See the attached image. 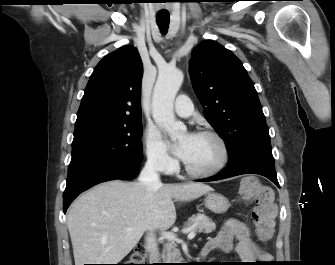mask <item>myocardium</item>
I'll use <instances>...</instances> for the list:
<instances>
[{"mask_svg": "<svg viewBox=\"0 0 335 265\" xmlns=\"http://www.w3.org/2000/svg\"><path fill=\"white\" fill-rule=\"evenodd\" d=\"M198 136L211 137L218 143L220 147V158L216 165L208 170H195L188 166L185 161L183 167L185 172L195 178H209L218 174L227 164L229 160V147L225 139L217 132L212 130H201L196 133Z\"/></svg>", "mask_w": 335, "mask_h": 265, "instance_id": "myocardium-1", "label": "myocardium"}]
</instances>
